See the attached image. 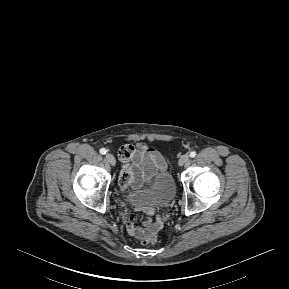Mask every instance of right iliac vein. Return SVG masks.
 <instances>
[{
    "instance_id": "right-iliac-vein-1",
    "label": "right iliac vein",
    "mask_w": 289,
    "mask_h": 289,
    "mask_svg": "<svg viewBox=\"0 0 289 289\" xmlns=\"http://www.w3.org/2000/svg\"><path fill=\"white\" fill-rule=\"evenodd\" d=\"M106 159H107V161H108L112 166H115V164H116V159H115L114 155H112L111 153H108V154L106 155Z\"/></svg>"
}]
</instances>
